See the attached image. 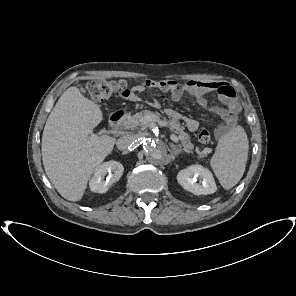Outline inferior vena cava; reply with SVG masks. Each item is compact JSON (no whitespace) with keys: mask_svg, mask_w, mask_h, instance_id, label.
Instances as JSON below:
<instances>
[{"mask_svg":"<svg viewBox=\"0 0 296 296\" xmlns=\"http://www.w3.org/2000/svg\"><path fill=\"white\" fill-rule=\"evenodd\" d=\"M135 141V137L132 136V135H126V136H123L121 138H119L116 142V147L119 149V150H125L127 149L128 147H130Z\"/></svg>","mask_w":296,"mask_h":296,"instance_id":"inferior-vena-cava-1","label":"inferior vena cava"}]
</instances>
